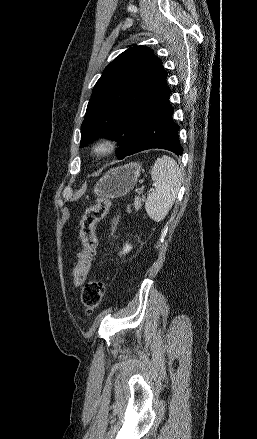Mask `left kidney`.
Listing matches in <instances>:
<instances>
[{"instance_id":"left-kidney-1","label":"left kidney","mask_w":257,"mask_h":439,"mask_svg":"<svg viewBox=\"0 0 257 439\" xmlns=\"http://www.w3.org/2000/svg\"><path fill=\"white\" fill-rule=\"evenodd\" d=\"M132 249V246L128 243L125 244V246L123 247V251L121 252V254H126L128 253L130 250Z\"/></svg>"}]
</instances>
